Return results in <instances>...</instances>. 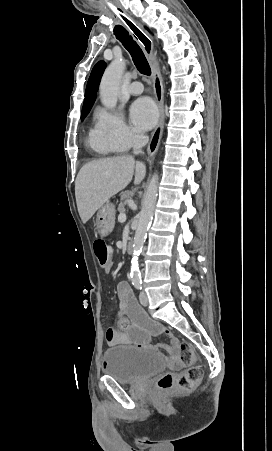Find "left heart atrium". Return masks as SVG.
I'll return each instance as SVG.
<instances>
[{
    "instance_id": "39dd6f15",
    "label": "left heart atrium",
    "mask_w": 272,
    "mask_h": 451,
    "mask_svg": "<svg viewBox=\"0 0 272 451\" xmlns=\"http://www.w3.org/2000/svg\"><path fill=\"white\" fill-rule=\"evenodd\" d=\"M157 112L154 103L148 98L136 101L131 108L132 123L137 129H148L156 120Z\"/></svg>"
}]
</instances>
